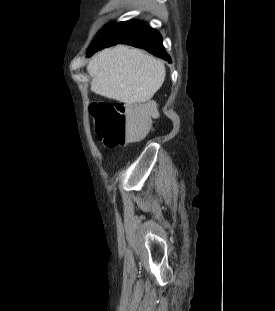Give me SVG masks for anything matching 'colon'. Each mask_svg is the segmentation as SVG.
Instances as JSON below:
<instances>
[{
	"label": "colon",
	"mask_w": 275,
	"mask_h": 311,
	"mask_svg": "<svg viewBox=\"0 0 275 311\" xmlns=\"http://www.w3.org/2000/svg\"><path fill=\"white\" fill-rule=\"evenodd\" d=\"M90 111L95 121V133L106 148L142 139L150 129L151 119L157 116L155 106L148 104L124 106L98 102Z\"/></svg>",
	"instance_id": "colon-1"
}]
</instances>
